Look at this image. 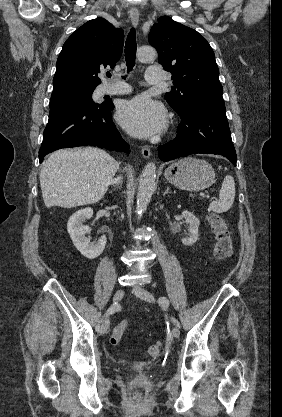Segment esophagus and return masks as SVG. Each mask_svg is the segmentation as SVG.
Masks as SVG:
<instances>
[{
	"mask_svg": "<svg viewBox=\"0 0 282 417\" xmlns=\"http://www.w3.org/2000/svg\"><path fill=\"white\" fill-rule=\"evenodd\" d=\"M130 18H131L132 24L134 25V27H136L139 21L138 10H130ZM141 152L144 158H149L151 155V151L148 147H143Z\"/></svg>",
	"mask_w": 282,
	"mask_h": 417,
	"instance_id": "obj_1",
	"label": "esophagus"
}]
</instances>
